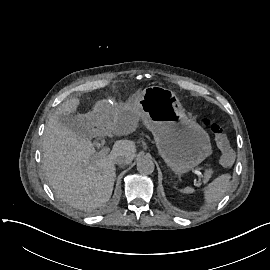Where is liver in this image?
<instances>
[{"instance_id": "obj_1", "label": "liver", "mask_w": 270, "mask_h": 270, "mask_svg": "<svg viewBox=\"0 0 270 270\" xmlns=\"http://www.w3.org/2000/svg\"><path fill=\"white\" fill-rule=\"evenodd\" d=\"M136 96L129 99V112L121 119L88 112L80 117L102 123L116 135H128L136 130L142 112L136 105ZM78 98L67 100L49 119L43 135V159L45 175L58 198L77 209L92 210L109 201L114 181L116 155L125 156L128 164L136 156L135 143L118 140L109 155L95 154V148L85 133L79 136L59 122L57 116L76 111Z\"/></svg>"}]
</instances>
